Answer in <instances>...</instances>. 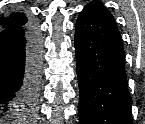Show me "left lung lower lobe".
<instances>
[{
    "label": "left lung lower lobe",
    "mask_w": 145,
    "mask_h": 124,
    "mask_svg": "<svg viewBox=\"0 0 145 124\" xmlns=\"http://www.w3.org/2000/svg\"><path fill=\"white\" fill-rule=\"evenodd\" d=\"M80 124H133L125 54L113 16L87 5L75 30Z\"/></svg>",
    "instance_id": "left-lung-lower-lobe-1"
}]
</instances>
